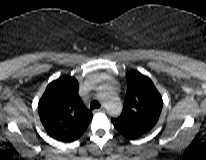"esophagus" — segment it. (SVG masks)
Instances as JSON below:
<instances>
[{
    "mask_svg": "<svg viewBox=\"0 0 206 160\" xmlns=\"http://www.w3.org/2000/svg\"><path fill=\"white\" fill-rule=\"evenodd\" d=\"M96 112H104L105 111V107L101 106L99 109L95 110Z\"/></svg>",
    "mask_w": 206,
    "mask_h": 160,
    "instance_id": "obj_1",
    "label": "esophagus"
}]
</instances>
